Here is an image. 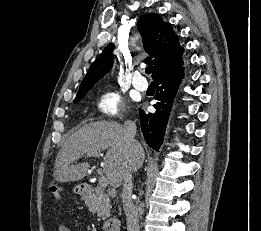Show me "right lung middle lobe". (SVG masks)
<instances>
[{
  "label": "right lung middle lobe",
  "instance_id": "right-lung-middle-lobe-1",
  "mask_svg": "<svg viewBox=\"0 0 261 231\" xmlns=\"http://www.w3.org/2000/svg\"><path fill=\"white\" fill-rule=\"evenodd\" d=\"M86 93H87V92L77 94V96H76V98L74 99L73 103L79 102V101L86 95Z\"/></svg>",
  "mask_w": 261,
  "mask_h": 231
}]
</instances>
